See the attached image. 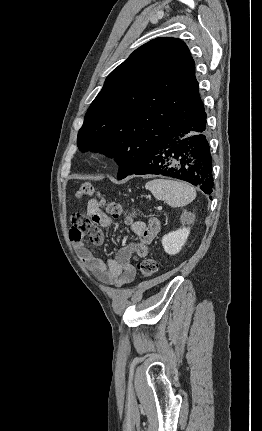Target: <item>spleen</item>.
I'll return each instance as SVG.
<instances>
[{"mask_svg": "<svg viewBox=\"0 0 262 431\" xmlns=\"http://www.w3.org/2000/svg\"><path fill=\"white\" fill-rule=\"evenodd\" d=\"M158 200H165L172 207H182L196 198L195 189L185 182L168 179H154L145 185Z\"/></svg>", "mask_w": 262, "mask_h": 431, "instance_id": "obj_1", "label": "spleen"}]
</instances>
